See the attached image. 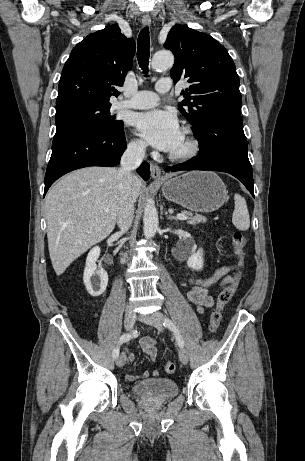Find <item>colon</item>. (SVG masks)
Masks as SVG:
<instances>
[{"instance_id": "1", "label": "colon", "mask_w": 305, "mask_h": 461, "mask_svg": "<svg viewBox=\"0 0 305 461\" xmlns=\"http://www.w3.org/2000/svg\"><path fill=\"white\" fill-rule=\"evenodd\" d=\"M233 248L237 258V263L239 266V271L235 274L232 281L225 286L217 295V302L216 306L211 312L210 320H209V328L212 332L218 330L220 323L222 321V311L225 305L231 300L233 294L235 293L237 286L240 281L241 269L244 263V256L245 251L244 248L246 246V238L241 232H235L233 235ZM164 369L166 373L172 374L176 370V365L173 362H166L164 365Z\"/></svg>"}]
</instances>
